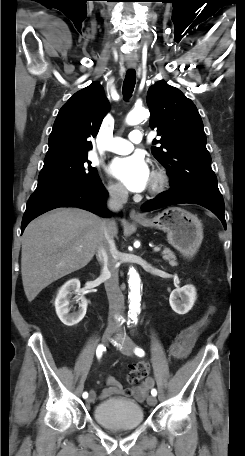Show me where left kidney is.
<instances>
[{
	"label": "left kidney",
	"mask_w": 245,
	"mask_h": 456,
	"mask_svg": "<svg viewBox=\"0 0 245 456\" xmlns=\"http://www.w3.org/2000/svg\"><path fill=\"white\" fill-rule=\"evenodd\" d=\"M196 301V289L192 285H185L174 289L169 297V303L173 311L183 315L188 313Z\"/></svg>",
	"instance_id": "1"
}]
</instances>
